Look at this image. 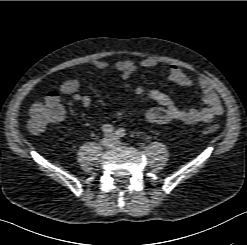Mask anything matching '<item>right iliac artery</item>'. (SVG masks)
Listing matches in <instances>:
<instances>
[{
	"label": "right iliac artery",
	"instance_id": "1",
	"mask_svg": "<svg viewBox=\"0 0 247 245\" xmlns=\"http://www.w3.org/2000/svg\"><path fill=\"white\" fill-rule=\"evenodd\" d=\"M102 131H103L104 133H111V132L114 131V127H113L112 125H110V124H104V125L102 126Z\"/></svg>",
	"mask_w": 247,
	"mask_h": 245
}]
</instances>
